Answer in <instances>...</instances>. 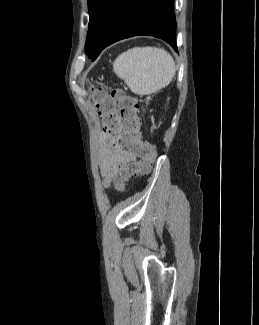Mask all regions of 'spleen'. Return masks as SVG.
I'll list each match as a JSON object with an SVG mask.
<instances>
[{"label":"spleen","mask_w":259,"mask_h":325,"mask_svg":"<svg viewBox=\"0 0 259 325\" xmlns=\"http://www.w3.org/2000/svg\"><path fill=\"white\" fill-rule=\"evenodd\" d=\"M113 71L137 95L156 93L175 75L173 57L158 47H134L120 54Z\"/></svg>","instance_id":"1"}]
</instances>
